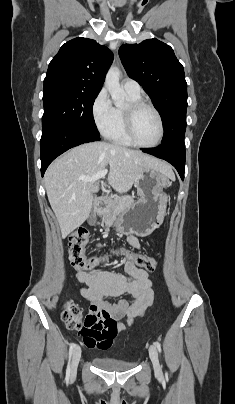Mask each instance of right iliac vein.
I'll use <instances>...</instances> for the list:
<instances>
[{"mask_svg":"<svg viewBox=\"0 0 235 404\" xmlns=\"http://www.w3.org/2000/svg\"><path fill=\"white\" fill-rule=\"evenodd\" d=\"M80 358H81V348L80 346H76L73 351V358L71 364V377H74L76 375Z\"/></svg>","mask_w":235,"mask_h":404,"instance_id":"obj_1","label":"right iliac vein"}]
</instances>
